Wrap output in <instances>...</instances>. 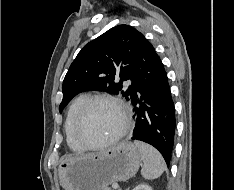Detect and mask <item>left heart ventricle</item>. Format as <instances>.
I'll return each mask as SVG.
<instances>
[{
  "label": "left heart ventricle",
  "mask_w": 234,
  "mask_h": 190,
  "mask_svg": "<svg viewBox=\"0 0 234 190\" xmlns=\"http://www.w3.org/2000/svg\"><path fill=\"white\" fill-rule=\"evenodd\" d=\"M122 126L118 109L109 102L98 101L91 105L85 117L82 134L91 144H98L114 136Z\"/></svg>",
  "instance_id": "obj_1"
}]
</instances>
